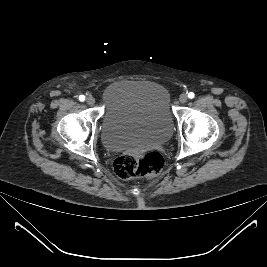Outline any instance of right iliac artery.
<instances>
[{"label":"right iliac artery","instance_id":"obj_1","mask_svg":"<svg viewBox=\"0 0 267 267\" xmlns=\"http://www.w3.org/2000/svg\"><path fill=\"white\" fill-rule=\"evenodd\" d=\"M79 100L80 101H84L85 100V96H83V95L79 96Z\"/></svg>","mask_w":267,"mask_h":267}]
</instances>
